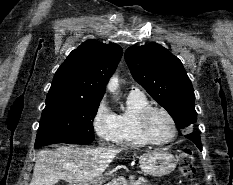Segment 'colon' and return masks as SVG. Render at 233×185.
I'll return each instance as SVG.
<instances>
[{"label": "colon", "instance_id": "obj_1", "mask_svg": "<svg viewBox=\"0 0 233 185\" xmlns=\"http://www.w3.org/2000/svg\"><path fill=\"white\" fill-rule=\"evenodd\" d=\"M179 173L184 177H191L194 172L193 155L190 149H184L178 159Z\"/></svg>", "mask_w": 233, "mask_h": 185}]
</instances>
